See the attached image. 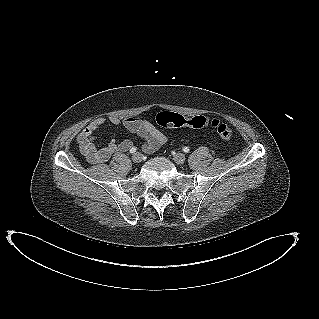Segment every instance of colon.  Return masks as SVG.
<instances>
[{"mask_svg":"<svg viewBox=\"0 0 319 319\" xmlns=\"http://www.w3.org/2000/svg\"><path fill=\"white\" fill-rule=\"evenodd\" d=\"M155 120L158 125L166 128H178L186 125L200 129L210 126L224 140H230L233 137V131L227 124L218 119H209L205 116H196L186 120L178 113L163 111L156 115Z\"/></svg>","mask_w":319,"mask_h":319,"instance_id":"obj_1","label":"colon"}]
</instances>
